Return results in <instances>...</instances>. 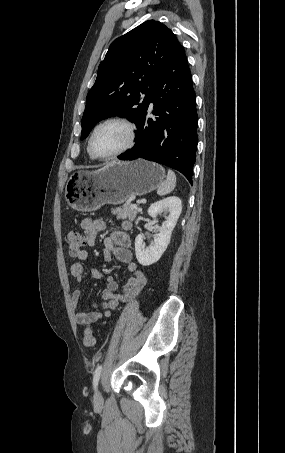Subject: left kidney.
<instances>
[{
    "instance_id": "obj_1",
    "label": "left kidney",
    "mask_w": 285,
    "mask_h": 453,
    "mask_svg": "<svg viewBox=\"0 0 285 453\" xmlns=\"http://www.w3.org/2000/svg\"><path fill=\"white\" fill-rule=\"evenodd\" d=\"M181 211L182 202L177 196H170L151 204L148 209L150 217L156 218L162 212L167 213L168 216L159 227L151 246L145 247L142 234L136 237L135 253L141 265L149 266L161 258L170 243L172 231L176 226Z\"/></svg>"
}]
</instances>
